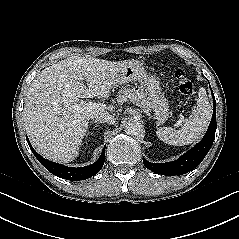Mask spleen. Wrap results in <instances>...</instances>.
<instances>
[{"instance_id": "3e777b00", "label": "spleen", "mask_w": 239, "mask_h": 239, "mask_svg": "<svg viewBox=\"0 0 239 239\" xmlns=\"http://www.w3.org/2000/svg\"><path fill=\"white\" fill-rule=\"evenodd\" d=\"M199 97L196 99V108L192 111L188 119L184 121L180 130L171 127H160L156 134L160 140L169 145L183 146L198 140L206 131L211 115L212 106L209 103L207 93L204 88H200Z\"/></svg>"}]
</instances>
